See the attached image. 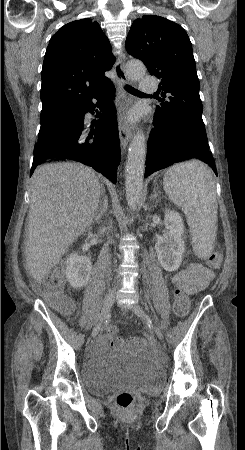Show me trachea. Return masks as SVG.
I'll return each mask as SVG.
<instances>
[{
  "mask_svg": "<svg viewBox=\"0 0 245 450\" xmlns=\"http://www.w3.org/2000/svg\"><path fill=\"white\" fill-rule=\"evenodd\" d=\"M125 90L131 94H135V95H146L144 93H142L141 91L135 89L134 87L130 86V85H125Z\"/></svg>",
  "mask_w": 245,
  "mask_h": 450,
  "instance_id": "trachea-1",
  "label": "trachea"
}]
</instances>
